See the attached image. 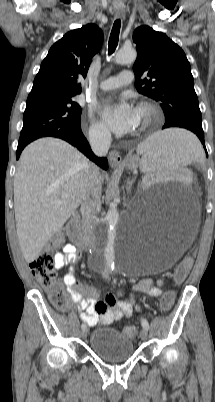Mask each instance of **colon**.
I'll return each mask as SVG.
<instances>
[{
  "mask_svg": "<svg viewBox=\"0 0 215 402\" xmlns=\"http://www.w3.org/2000/svg\"><path fill=\"white\" fill-rule=\"evenodd\" d=\"M62 242V234H56L50 240L47 248L30 263V268L33 276L43 287L48 290V294L52 304L60 310L65 309L67 301L61 284L59 283L57 278L53 250L59 247ZM186 257L187 259L182 261L174 272V279L176 282L183 281L189 270L191 261L196 259L197 254L195 251H188ZM175 296V292L172 290L164 292L159 302L161 309L169 310L174 303ZM123 333L124 335L132 339L137 336L138 331L135 326L130 325L126 326L123 329Z\"/></svg>",
  "mask_w": 215,
  "mask_h": 402,
  "instance_id": "colon-1",
  "label": "colon"
}]
</instances>
